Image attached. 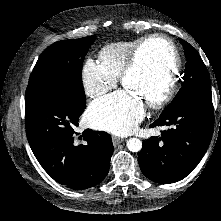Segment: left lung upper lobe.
Returning a JSON list of instances; mask_svg holds the SVG:
<instances>
[{"label":"left lung upper lobe","mask_w":221,"mask_h":221,"mask_svg":"<svg viewBox=\"0 0 221 221\" xmlns=\"http://www.w3.org/2000/svg\"><path fill=\"white\" fill-rule=\"evenodd\" d=\"M180 41L187 58L182 87L162 114L171 113L192 101H212L210 77L205 64L189 43L182 39Z\"/></svg>","instance_id":"obj_1"}]
</instances>
